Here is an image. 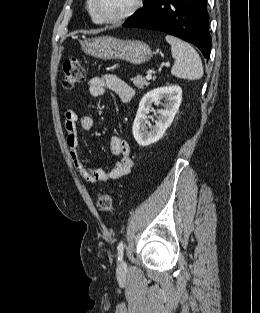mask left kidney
Returning <instances> with one entry per match:
<instances>
[{"mask_svg":"<svg viewBox=\"0 0 260 313\" xmlns=\"http://www.w3.org/2000/svg\"><path fill=\"white\" fill-rule=\"evenodd\" d=\"M164 99V109L158 110L155 125L149 130L146 126L147 115L154 102ZM182 101V89L179 86L156 88L143 96L133 123L132 132L141 146H148L161 139L172 124Z\"/></svg>","mask_w":260,"mask_h":313,"instance_id":"left-kidney-1","label":"left kidney"}]
</instances>
